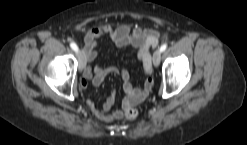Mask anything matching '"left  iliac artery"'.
Masks as SVG:
<instances>
[{"label":"left iliac artery","mask_w":247,"mask_h":145,"mask_svg":"<svg viewBox=\"0 0 247 145\" xmlns=\"http://www.w3.org/2000/svg\"><path fill=\"white\" fill-rule=\"evenodd\" d=\"M166 48H167V43H164L160 48L161 52H164Z\"/></svg>","instance_id":"obj_1"}]
</instances>
